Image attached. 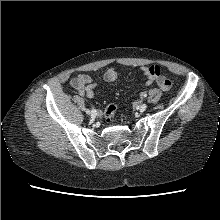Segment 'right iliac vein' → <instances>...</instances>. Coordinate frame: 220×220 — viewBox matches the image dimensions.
Returning a JSON list of instances; mask_svg holds the SVG:
<instances>
[{"label":"right iliac vein","instance_id":"1","mask_svg":"<svg viewBox=\"0 0 220 220\" xmlns=\"http://www.w3.org/2000/svg\"><path fill=\"white\" fill-rule=\"evenodd\" d=\"M90 115L92 118H95L97 116V112L95 110H92Z\"/></svg>","mask_w":220,"mask_h":220}]
</instances>
